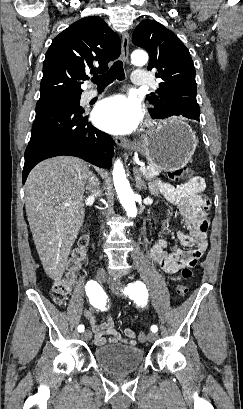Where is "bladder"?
Here are the masks:
<instances>
[{
    "label": "bladder",
    "instance_id": "obj_1",
    "mask_svg": "<svg viewBox=\"0 0 243 409\" xmlns=\"http://www.w3.org/2000/svg\"><path fill=\"white\" fill-rule=\"evenodd\" d=\"M93 356L102 368L119 374L137 369L144 360V351L140 347L112 343L96 347Z\"/></svg>",
    "mask_w": 243,
    "mask_h": 409
}]
</instances>
